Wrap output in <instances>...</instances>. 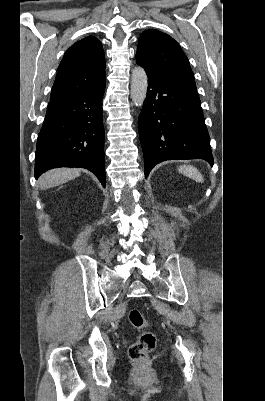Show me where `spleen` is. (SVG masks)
Wrapping results in <instances>:
<instances>
[{
	"mask_svg": "<svg viewBox=\"0 0 265 401\" xmlns=\"http://www.w3.org/2000/svg\"><path fill=\"white\" fill-rule=\"evenodd\" d=\"M178 170L179 172H182V174H185V176H189V178L197 180V182H204L201 172H199L195 166H191V164H184V166H180Z\"/></svg>",
	"mask_w": 265,
	"mask_h": 401,
	"instance_id": "3e777b00",
	"label": "spleen"
}]
</instances>
